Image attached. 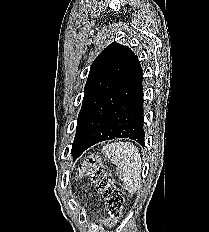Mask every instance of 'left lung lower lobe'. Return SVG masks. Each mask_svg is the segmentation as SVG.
<instances>
[{
    "instance_id": "1",
    "label": "left lung lower lobe",
    "mask_w": 209,
    "mask_h": 232,
    "mask_svg": "<svg viewBox=\"0 0 209 232\" xmlns=\"http://www.w3.org/2000/svg\"><path fill=\"white\" fill-rule=\"evenodd\" d=\"M142 80V68L136 58L123 82L91 109L77 128L71 150L73 159L92 145L115 138H129L144 146Z\"/></svg>"
}]
</instances>
